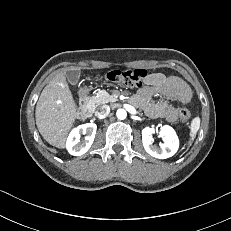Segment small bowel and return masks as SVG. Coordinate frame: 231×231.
Instances as JSON below:
<instances>
[{
    "mask_svg": "<svg viewBox=\"0 0 231 231\" xmlns=\"http://www.w3.org/2000/svg\"><path fill=\"white\" fill-rule=\"evenodd\" d=\"M155 95L187 104L191 100L192 91L185 81L176 76L152 73L148 75L145 86L133 97V102L140 105L149 115L172 122L177 118V110L166 100L153 101Z\"/></svg>",
    "mask_w": 231,
    "mask_h": 231,
    "instance_id": "c3829d8e",
    "label": "small bowel"
}]
</instances>
